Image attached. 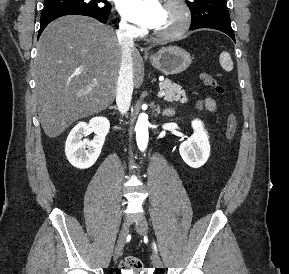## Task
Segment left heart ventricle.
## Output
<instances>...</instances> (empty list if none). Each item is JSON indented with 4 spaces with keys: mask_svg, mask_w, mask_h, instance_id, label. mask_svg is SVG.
<instances>
[{
    "mask_svg": "<svg viewBox=\"0 0 289 274\" xmlns=\"http://www.w3.org/2000/svg\"><path fill=\"white\" fill-rule=\"evenodd\" d=\"M180 21L179 10L174 6L163 5L160 19L154 30L167 31L173 29Z\"/></svg>",
    "mask_w": 289,
    "mask_h": 274,
    "instance_id": "left-heart-ventricle-1",
    "label": "left heart ventricle"
}]
</instances>
